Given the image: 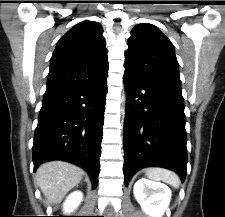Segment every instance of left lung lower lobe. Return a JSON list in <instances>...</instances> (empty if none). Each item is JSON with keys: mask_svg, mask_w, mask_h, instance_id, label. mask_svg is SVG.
I'll use <instances>...</instances> for the list:
<instances>
[{"mask_svg": "<svg viewBox=\"0 0 225 217\" xmlns=\"http://www.w3.org/2000/svg\"><path fill=\"white\" fill-rule=\"evenodd\" d=\"M125 185L144 167H164L186 176L187 148L181 88L147 82L124 72Z\"/></svg>", "mask_w": 225, "mask_h": 217, "instance_id": "obj_1", "label": "left lung lower lobe"}]
</instances>
